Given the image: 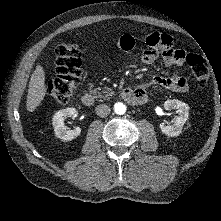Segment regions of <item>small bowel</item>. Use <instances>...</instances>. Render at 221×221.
Instances as JSON below:
<instances>
[{"label":"small bowel","instance_id":"1","mask_svg":"<svg viewBox=\"0 0 221 221\" xmlns=\"http://www.w3.org/2000/svg\"><path fill=\"white\" fill-rule=\"evenodd\" d=\"M146 49L143 51L141 60L144 64H153L159 56L162 57L167 67H179L183 64L186 53L176 49L172 37L167 34L151 33L145 38ZM135 46V39L130 35H123L117 41V47L123 51H131ZM158 87L178 93L188 90L187 80L179 75L171 77H154L150 82L137 86L136 90L146 101V89ZM143 101V102H144Z\"/></svg>","mask_w":221,"mask_h":221}]
</instances>
